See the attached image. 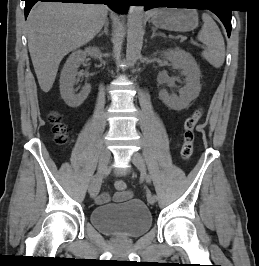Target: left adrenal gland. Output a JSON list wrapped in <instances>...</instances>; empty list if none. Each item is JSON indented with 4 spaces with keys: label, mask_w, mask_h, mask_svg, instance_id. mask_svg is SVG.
Listing matches in <instances>:
<instances>
[{
    "label": "left adrenal gland",
    "mask_w": 259,
    "mask_h": 266,
    "mask_svg": "<svg viewBox=\"0 0 259 266\" xmlns=\"http://www.w3.org/2000/svg\"><path fill=\"white\" fill-rule=\"evenodd\" d=\"M156 36H161V37H165V34L163 33H157L156 32V28L152 27V35H151V39H153Z\"/></svg>",
    "instance_id": "left-adrenal-gland-1"
}]
</instances>
